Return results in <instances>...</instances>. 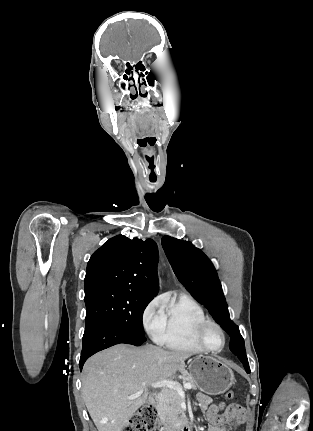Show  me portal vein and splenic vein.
Listing matches in <instances>:
<instances>
[{"mask_svg": "<svg viewBox=\"0 0 313 431\" xmlns=\"http://www.w3.org/2000/svg\"><path fill=\"white\" fill-rule=\"evenodd\" d=\"M152 388H170V389H174L176 390L179 395H184V391H183V387L185 389H191L192 385L190 383H184L183 386L176 382V381H172V380H160L157 382H154L151 384ZM143 393V390H140L139 392H137L136 394L128 397L129 399H135L138 396H140Z\"/></svg>", "mask_w": 313, "mask_h": 431, "instance_id": "portal-vein-and-splenic-vein-1", "label": "portal vein and splenic vein"}]
</instances>
